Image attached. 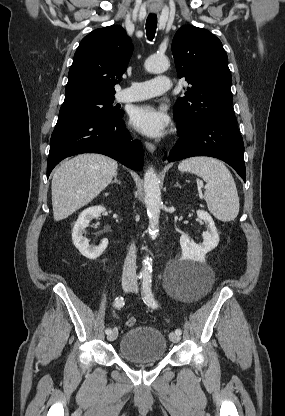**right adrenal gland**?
Instances as JSON below:
<instances>
[{"mask_svg":"<svg viewBox=\"0 0 285 416\" xmlns=\"http://www.w3.org/2000/svg\"><path fill=\"white\" fill-rule=\"evenodd\" d=\"M111 184H121L120 180H117V174L114 176V180L111 182Z\"/></svg>","mask_w":285,"mask_h":416,"instance_id":"obj_1","label":"right adrenal gland"}]
</instances>
